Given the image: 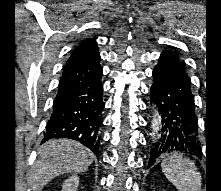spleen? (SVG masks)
I'll return each instance as SVG.
<instances>
[{"label": "spleen", "mask_w": 221, "mask_h": 191, "mask_svg": "<svg viewBox=\"0 0 221 191\" xmlns=\"http://www.w3.org/2000/svg\"><path fill=\"white\" fill-rule=\"evenodd\" d=\"M161 168L178 191H201V174L190 159L172 153L163 159Z\"/></svg>", "instance_id": "3e777b00"}]
</instances>
